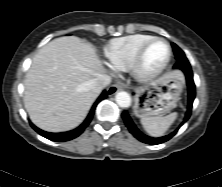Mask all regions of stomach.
I'll return each instance as SVG.
<instances>
[{"label":"stomach","instance_id":"stomach-1","mask_svg":"<svg viewBox=\"0 0 222 187\" xmlns=\"http://www.w3.org/2000/svg\"><path fill=\"white\" fill-rule=\"evenodd\" d=\"M183 86L182 75L171 72L140 88L135 95L134 114L140 118L165 115L176 106Z\"/></svg>","mask_w":222,"mask_h":187}]
</instances>
